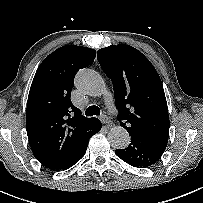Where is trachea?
<instances>
[{"instance_id":"obj_1","label":"trachea","mask_w":203,"mask_h":203,"mask_svg":"<svg viewBox=\"0 0 203 203\" xmlns=\"http://www.w3.org/2000/svg\"><path fill=\"white\" fill-rule=\"evenodd\" d=\"M86 116L100 115V108L98 106L92 105L86 109Z\"/></svg>"}]
</instances>
